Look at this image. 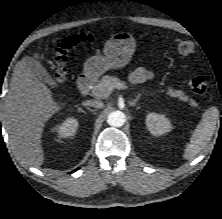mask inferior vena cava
I'll return each mask as SVG.
<instances>
[{"instance_id": "602c4592", "label": "inferior vena cava", "mask_w": 222, "mask_h": 219, "mask_svg": "<svg viewBox=\"0 0 222 219\" xmlns=\"http://www.w3.org/2000/svg\"><path fill=\"white\" fill-rule=\"evenodd\" d=\"M83 105L94 107V108H97V109H101L104 106L103 102L99 101V100H88V101H85L83 103Z\"/></svg>"}]
</instances>
